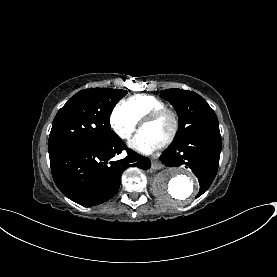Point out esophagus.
Instances as JSON below:
<instances>
[{"label":"esophagus","mask_w":277,"mask_h":277,"mask_svg":"<svg viewBox=\"0 0 277 277\" xmlns=\"http://www.w3.org/2000/svg\"><path fill=\"white\" fill-rule=\"evenodd\" d=\"M151 167L154 170L163 169L164 165L158 159H151Z\"/></svg>","instance_id":"34e87169"}]
</instances>
